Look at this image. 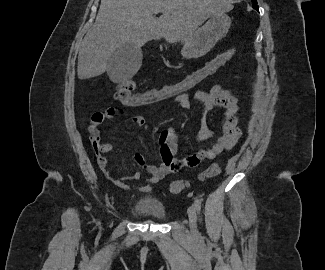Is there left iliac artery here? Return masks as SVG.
<instances>
[{
	"mask_svg": "<svg viewBox=\"0 0 325 270\" xmlns=\"http://www.w3.org/2000/svg\"><path fill=\"white\" fill-rule=\"evenodd\" d=\"M194 206H195V209L197 210V212H199L201 210V200L195 199Z\"/></svg>",
	"mask_w": 325,
	"mask_h": 270,
	"instance_id": "obj_1",
	"label": "left iliac artery"
}]
</instances>
